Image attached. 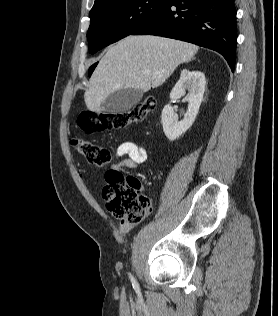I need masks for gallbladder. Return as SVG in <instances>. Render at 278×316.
Returning <instances> with one entry per match:
<instances>
[{"label": "gallbladder", "mask_w": 278, "mask_h": 316, "mask_svg": "<svg viewBox=\"0 0 278 316\" xmlns=\"http://www.w3.org/2000/svg\"><path fill=\"white\" fill-rule=\"evenodd\" d=\"M142 97V90L135 88L119 89L111 93L104 100L102 108L106 113H123L136 106Z\"/></svg>", "instance_id": "bac80fb5"}]
</instances>
